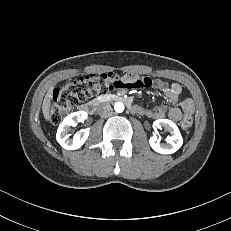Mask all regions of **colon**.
<instances>
[{"mask_svg": "<svg viewBox=\"0 0 231 231\" xmlns=\"http://www.w3.org/2000/svg\"><path fill=\"white\" fill-rule=\"evenodd\" d=\"M116 74L102 73L81 76L72 80H68L54 89L50 104V120L53 124L61 122L63 117L73 110L79 103L86 101L97 95L105 94L116 90V84H119ZM148 77H138L129 82H143V87L147 88ZM121 88L125 87L121 84ZM193 123V117L190 113L184 114L181 119L180 127L183 131H188Z\"/></svg>", "mask_w": 231, "mask_h": 231, "instance_id": "colon-1", "label": "colon"}]
</instances>
